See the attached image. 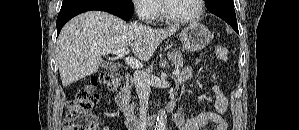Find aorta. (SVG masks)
I'll use <instances>...</instances> for the list:
<instances>
[{
    "label": "aorta",
    "mask_w": 299,
    "mask_h": 130,
    "mask_svg": "<svg viewBox=\"0 0 299 130\" xmlns=\"http://www.w3.org/2000/svg\"><path fill=\"white\" fill-rule=\"evenodd\" d=\"M165 128H166L165 112L161 111L157 116L155 130H165Z\"/></svg>",
    "instance_id": "1"
}]
</instances>
